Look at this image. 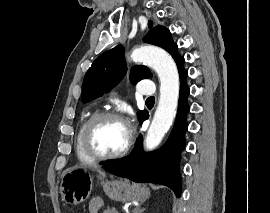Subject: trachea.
I'll return each mask as SVG.
<instances>
[{
	"mask_svg": "<svg viewBox=\"0 0 270 213\" xmlns=\"http://www.w3.org/2000/svg\"><path fill=\"white\" fill-rule=\"evenodd\" d=\"M153 101H155V98H154V97H149V98H147V100H146V102H153Z\"/></svg>",
	"mask_w": 270,
	"mask_h": 213,
	"instance_id": "trachea-1",
	"label": "trachea"
}]
</instances>
